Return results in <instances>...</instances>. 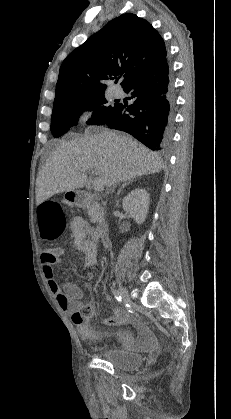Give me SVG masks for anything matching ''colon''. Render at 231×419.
I'll return each instance as SVG.
<instances>
[{"label": "colon", "instance_id": "obj_1", "mask_svg": "<svg viewBox=\"0 0 231 419\" xmlns=\"http://www.w3.org/2000/svg\"><path fill=\"white\" fill-rule=\"evenodd\" d=\"M40 225L43 238L47 241L56 239L60 230L65 228V216L61 205L53 201H45L38 208ZM94 308L84 305L80 308L82 317H89L93 314Z\"/></svg>", "mask_w": 231, "mask_h": 419}]
</instances>
